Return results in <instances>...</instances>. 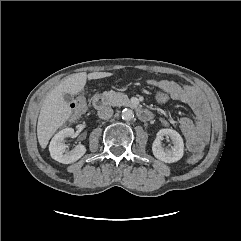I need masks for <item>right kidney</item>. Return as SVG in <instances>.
Masks as SVG:
<instances>
[{"label":"right kidney","instance_id":"1","mask_svg":"<svg viewBox=\"0 0 241 241\" xmlns=\"http://www.w3.org/2000/svg\"><path fill=\"white\" fill-rule=\"evenodd\" d=\"M74 129L65 128L59 131L51 140L49 145V151L51 157L63 164H70L80 159L86 152L84 145H77L72 150H66L64 143L65 138L73 137Z\"/></svg>","mask_w":241,"mask_h":241}]
</instances>
